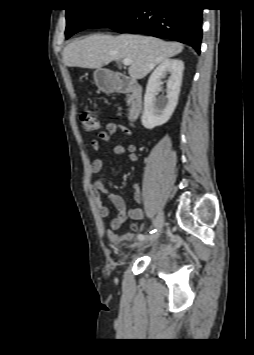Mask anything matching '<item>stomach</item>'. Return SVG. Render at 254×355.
I'll list each match as a JSON object with an SVG mask.
<instances>
[{
  "label": "stomach",
  "instance_id": "obj_1",
  "mask_svg": "<svg viewBox=\"0 0 254 355\" xmlns=\"http://www.w3.org/2000/svg\"><path fill=\"white\" fill-rule=\"evenodd\" d=\"M94 80L96 85L102 89H108L112 87L110 79L107 77L106 72L102 69H98L94 72Z\"/></svg>",
  "mask_w": 254,
  "mask_h": 355
}]
</instances>
